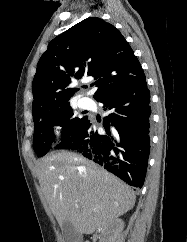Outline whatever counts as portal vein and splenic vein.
Listing matches in <instances>:
<instances>
[{
	"label": "portal vein and splenic vein",
	"instance_id": "1",
	"mask_svg": "<svg viewBox=\"0 0 187 242\" xmlns=\"http://www.w3.org/2000/svg\"><path fill=\"white\" fill-rule=\"evenodd\" d=\"M75 205L78 207V203L76 202Z\"/></svg>",
	"mask_w": 187,
	"mask_h": 242
}]
</instances>
